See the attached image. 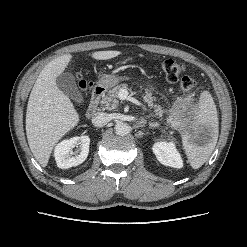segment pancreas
<instances>
[{"label":"pancreas","mask_w":247,"mask_h":247,"mask_svg":"<svg viewBox=\"0 0 247 247\" xmlns=\"http://www.w3.org/2000/svg\"><path fill=\"white\" fill-rule=\"evenodd\" d=\"M122 89H128L127 84H120L115 86L113 89L109 90L107 95L102 98L101 106L104 109L113 110L117 109L119 105L118 94ZM145 95H143V101L147 103L150 108L154 109L155 115L158 117H162L164 111L161 106L154 103L155 97L153 96L151 90L145 89Z\"/></svg>","instance_id":"pancreas-1"}]
</instances>
